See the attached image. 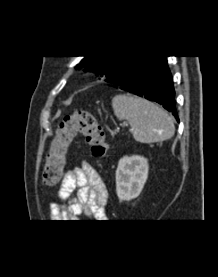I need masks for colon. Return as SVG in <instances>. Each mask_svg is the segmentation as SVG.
Listing matches in <instances>:
<instances>
[{"label":"colon","instance_id":"colon-1","mask_svg":"<svg viewBox=\"0 0 218 277\" xmlns=\"http://www.w3.org/2000/svg\"><path fill=\"white\" fill-rule=\"evenodd\" d=\"M82 136L95 157L104 156L109 149L105 134L96 117L87 111H77L66 115L57 125L47 152L43 169V182L53 186L62 177L66 164V154L72 141Z\"/></svg>","mask_w":218,"mask_h":277}]
</instances>
